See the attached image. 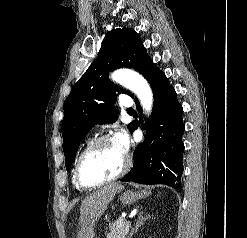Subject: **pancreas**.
<instances>
[{"mask_svg":"<svg viewBox=\"0 0 247 238\" xmlns=\"http://www.w3.org/2000/svg\"><path fill=\"white\" fill-rule=\"evenodd\" d=\"M130 227L131 224L128 223V221L123 218H119L113 226L110 227L111 232L107 238H126Z\"/></svg>","mask_w":247,"mask_h":238,"instance_id":"pancreas-1","label":"pancreas"}]
</instances>
